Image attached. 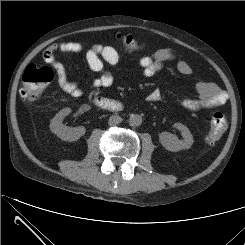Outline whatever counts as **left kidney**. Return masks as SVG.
<instances>
[{"label": "left kidney", "mask_w": 245, "mask_h": 245, "mask_svg": "<svg viewBox=\"0 0 245 245\" xmlns=\"http://www.w3.org/2000/svg\"><path fill=\"white\" fill-rule=\"evenodd\" d=\"M174 127L181 131L183 140H179L176 135L164 132L160 136L161 144L169 151L177 152L188 149L193 144V136L190 130L182 123H175Z\"/></svg>", "instance_id": "5707ae66"}]
</instances>
